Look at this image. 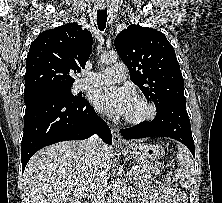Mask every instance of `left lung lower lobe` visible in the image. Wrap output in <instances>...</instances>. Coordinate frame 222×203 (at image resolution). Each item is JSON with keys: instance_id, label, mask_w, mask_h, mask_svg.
Instances as JSON below:
<instances>
[{"instance_id": "1", "label": "left lung lower lobe", "mask_w": 222, "mask_h": 203, "mask_svg": "<svg viewBox=\"0 0 222 203\" xmlns=\"http://www.w3.org/2000/svg\"><path fill=\"white\" fill-rule=\"evenodd\" d=\"M157 114L149 123L122 129L125 139H138L152 136L169 137L183 143L195 157L194 141L186 102L171 100L156 108Z\"/></svg>"}]
</instances>
